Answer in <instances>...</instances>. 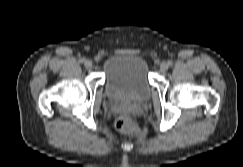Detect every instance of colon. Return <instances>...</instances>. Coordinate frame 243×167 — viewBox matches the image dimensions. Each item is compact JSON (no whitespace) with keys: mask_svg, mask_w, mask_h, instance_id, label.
<instances>
[{"mask_svg":"<svg viewBox=\"0 0 243 167\" xmlns=\"http://www.w3.org/2000/svg\"><path fill=\"white\" fill-rule=\"evenodd\" d=\"M116 128L123 133L135 134L138 132V127L127 113L118 118Z\"/></svg>","mask_w":243,"mask_h":167,"instance_id":"1","label":"colon"}]
</instances>
